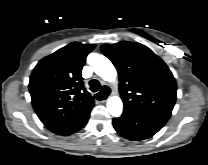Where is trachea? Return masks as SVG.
<instances>
[{
    "label": "trachea",
    "instance_id": "1",
    "mask_svg": "<svg viewBox=\"0 0 208 165\" xmlns=\"http://www.w3.org/2000/svg\"><path fill=\"white\" fill-rule=\"evenodd\" d=\"M89 86L92 92H97L100 89V83L96 79H92L89 82ZM108 94H109V90L106 87H103L99 93L95 94V98L97 100H105Z\"/></svg>",
    "mask_w": 208,
    "mask_h": 165
}]
</instances>
